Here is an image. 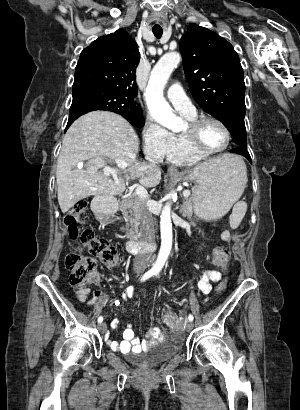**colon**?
Listing matches in <instances>:
<instances>
[{
	"mask_svg": "<svg viewBox=\"0 0 300 410\" xmlns=\"http://www.w3.org/2000/svg\"><path fill=\"white\" fill-rule=\"evenodd\" d=\"M86 211L87 201L81 200L64 217V225L68 230L71 240H79L90 254L86 256L70 253L66 256L65 265L69 271V281L77 287H83L95 278V258L106 267H114L118 263L116 248L106 238L97 235L92 229L83 227ZM212 256L216 265L225 267L228 264V250L223 246H216L213 249ZM224 289L225 282H220L216 287L217 291ZM164 320L171 326H175L178 323L175 313L171 311L165 312Z\"/></svg>",
	"mask_w": 300,
	"mask_h": 410,
	"instance_id": "obj_1",
	"label": "colon"
}]
</instances>
